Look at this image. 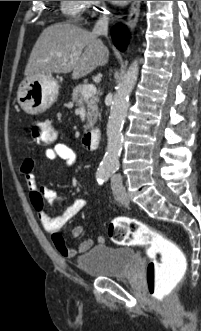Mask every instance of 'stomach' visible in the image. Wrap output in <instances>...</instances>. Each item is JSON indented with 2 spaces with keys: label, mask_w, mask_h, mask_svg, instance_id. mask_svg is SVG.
Returning <instances> with one entry per match:
<instances>
[{
  "label": "stomach",
  "mask_w": 201,
  "mask_h": 331,
  "mask_svg": "<svg viewBox=\"0 0 201 331\" xmlns=\"http://www.w3.org/2000/svg\"><path fill=\"white\" fill-rule=\"evenodd\" d=\"M59 94L58 82L50 75L27 76L19 85L17 101L30 115L49 109Z\"/></svg>",
  "instance_id": "obj_1"
}]
</instances>
